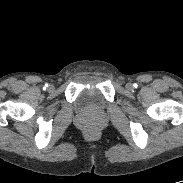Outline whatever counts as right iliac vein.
I'll return each instance as SVG.
<instances>
[{"mask_svg":"<svg viewBox=\"0 0 183 183\" xmlns=\"http://www.w3.org/2000/svg\"><path fill=\"white\" fill-rule=\"evenodd\" d=\"M48 89H49L50 91H53V90H54V86H53V85H49V86H48Z\"/></svg>","mask_w":183,"mask_h":183,"instance_id":"obj_1","label":"right iliac vein"}]
</instances>
